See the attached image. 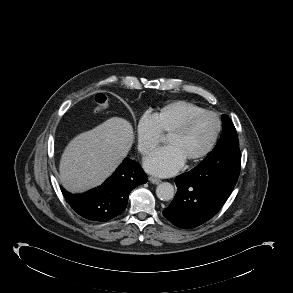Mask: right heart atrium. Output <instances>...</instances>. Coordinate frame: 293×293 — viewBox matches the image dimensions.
<instances>
[{
    "instance_id": "right-heart-atrium-1",
    "label": "right heart atrium",
    "mask_w": 293,
    "mask_h": 293,
    "mask_svg": "<svg viewBox=\"0 0 293 293\" xmlns=\"http://www.w3.org/2000/svg\"><path fill=\"white\" fill-rule=\"evenodd\" d=\"M136 137L138 150L147 155L160 143L162 134L153 114H142L136 124Z\"/></svg>"
}]
</instances>
